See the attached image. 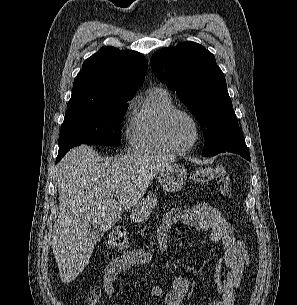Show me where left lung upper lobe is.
I'll list each match as a JSON object with an SVG mask.
<instances>
[{"label": "left lung upper lobe", "instance_id": "5c2ea615", "mask_svg": "<svg viewBox=\"0 0 297 305\" xmlns=\"http://www.w3.org/2000/svg\"><path fill=\"white\" fill-rule=\"evenodd\" d=\"M150 64L153 73L176 92L204 128L202 155L248 151L224 74L210 51L195 42H184L158 50Z\"/></svg>", "mask_w": 297, "mask_h": 305}]
</instances>
